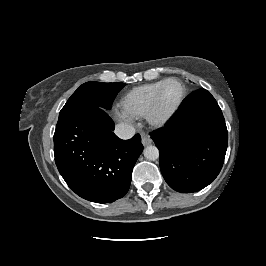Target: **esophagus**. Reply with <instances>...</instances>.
Instances as JSON below:
<instances>
[{
  "label": "esophagus",
  "instance_id": "34e87169",
  "mask_svg": "<svg viewBox=\"0 0 266 266\" xmlns=\"http://www.w3.org/2000/svg\"><path fill=\"white\" fill-rule=\"evenodd\" d=\"M152 143V140L150 138V136H148L147 134H142V144L144 146H148Z\"/></svg>",
  "mask_w": 266,
  "mask_h": 266
}]
</instances>
